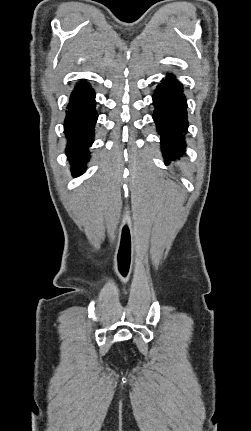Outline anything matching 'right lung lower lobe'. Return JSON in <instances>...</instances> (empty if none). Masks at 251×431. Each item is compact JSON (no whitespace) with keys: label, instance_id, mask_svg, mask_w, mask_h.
<instances>
[{"label":"right lung lower lobe","instance_id":"right-lung-lower-lobe-1","mask_svg":"<svg viewBox=\"0 0 251 431\" xmlns=\"http://www.w3.org/2000/svg\"><path fill=\"white\" fill-rule=\"evenodd\" d=\"M97 117L95 93L88 83L82 81L71 93L64 121V133L68 140L66 154L74 176L85 172L90 155L88 147L94 141Z\"/></svg>","mask_w":251,"mask_h":431}]
</instances>
